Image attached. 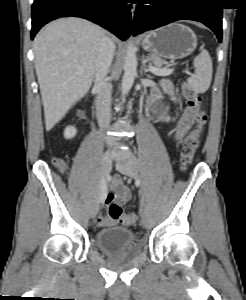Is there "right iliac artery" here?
Returning <instances> with one entry per match:
<instances>
[{
  "label": "right iliac artery",
  "mask_w": 246,
  "mask_h": 300,
  "mask_svg": "<svg viewBox=\"0 0 246 300\" xmlns=\"http://www.w3.org/2000/svg\"><path fill=\"white\" fill-rule=\"evenodd\" d=\"M107 194V183L105 179L100 181V200L99 202H103L105 196Z\"/></svg>",
  "instance_id": "82829eb1"
}]
</instances>
